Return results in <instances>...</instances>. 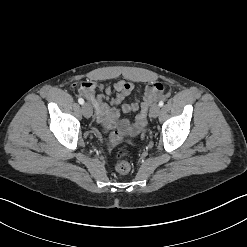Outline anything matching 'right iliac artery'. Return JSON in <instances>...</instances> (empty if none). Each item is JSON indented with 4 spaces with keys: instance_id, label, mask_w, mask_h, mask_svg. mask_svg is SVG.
Instances as JSON below:
<instances>
[{
    "instance_id": "82829eb1",
    "label": "right iliac artery",
    "mask_w": 247,
    "mask_h": 247,
    "mask_svg": "<svg viewBox=\"0 0 247 247\" xmlns=\"http://www.w3.org/2000/svg\"><path fill=\"white\" fill-rule=\"evenodd\" d=\"M78 102H79V104H81V105L84 104V100H83L82 98H79V99H78Z\"/></svg>"
}]
</instances>
